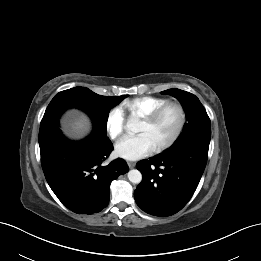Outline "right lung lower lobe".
I'll return each instance as SVG.
<instances>
[{"mask_svg":"<svg viewBox=\"0 0 261 261\" xmlns=\"http://www.w3.org/2000/svg\"><path fill=\"white\" fill-rule=\"evenodd\" d=\"M41 164L46 180L58 199L71 211L92 214L108 205L110 184L129 168L117 158L104 160L113 151L108 137L99 132L80 141L67 140L58 122L40 126Z\"/></svg>","mask_w":261,"mask_h":261,"instance_id":"98d812e1","label":"right lung lower lobe"}]
</instances>
